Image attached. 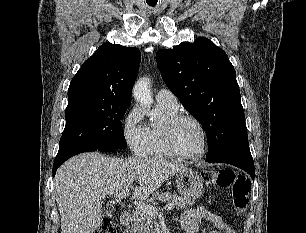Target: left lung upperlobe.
<instances>
[{
    "mask_svg": "<svg viewBox=\"0 0 306 233\" xmlns=\"http://www.w3.org/2000/svg\"><path fill=\"white\" fill-rule=\"evenodd\" d=\"M156 61L168 88L203 124L209 157L249 147L236 72L221 48L199 37L159 50Z\"/></svg>",
    "mask_w": 306,
    "mask_h": 233,
    "instance_id": "1",
    "label": "left lung upper lobe"
}]
</instances>
